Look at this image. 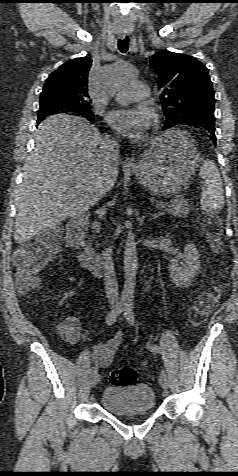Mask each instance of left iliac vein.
<instances>
[{
    "label": "left iliac vein",
    "instance_id": "obj_1",
    "mask_svg": "<svg viewBox=\"0 0 238 476\" xmlns=\"http://www.w3.org/2000/svg\"><path fill=\"white\" fill-rule=\"evenodd\" d=\"M159 383L163 389H167L169 385V380L166 372L162 370L159 375Z\"/></svg>",
    "mask_w": 238,
    "mask_h": 476
}]
</instances>
